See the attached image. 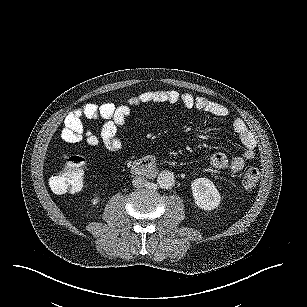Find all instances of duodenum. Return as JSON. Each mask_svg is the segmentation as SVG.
I'll list each match as a JSON object with an SVG mask.
<instances>
[{
    "instance_id": "duodenum-1",
    "label": "duodenum",
    "mask_w": 307,
    "mask_h": 307,
    "mask_svg": "<svg viewBox=\"0 0 307 307\" xmlns=\"http://www.w3.org/2000/svg\"><path fill=\"white\" fill-rule=\"evenodd\" d=\"M131 172L135 175L153 177L157 173V164L154 158L146 157L133 162Z\"/></svg>"
}]
</instances>
